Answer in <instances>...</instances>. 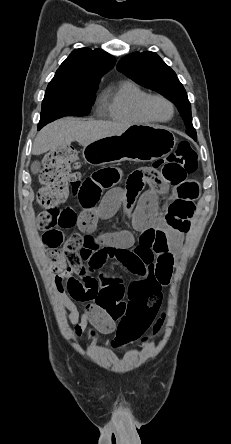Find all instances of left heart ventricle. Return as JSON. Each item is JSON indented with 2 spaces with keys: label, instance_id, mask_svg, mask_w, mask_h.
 <instances>
[{
  "label": "left heart ventricle",
  "instance_id": "obj_1",
  "mask_svg": "<svg viewBox=\"0 0 231 444\" xmlns=\"http://www.w3.org/2000/svg\"><path fill=\"white\" fill-rule=\"evenodd\" d=\"M151 109L156 116L162 119L168 118L171 114L170 106L163 100H154Z\"/></svg>",
  "mask_w": 231,
  "mask_h": 444
}]
</instances>
